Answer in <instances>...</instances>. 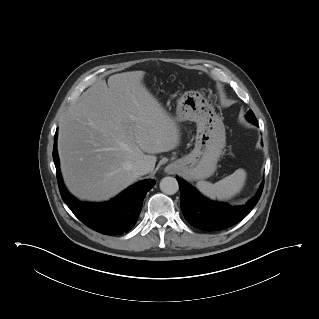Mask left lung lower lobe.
<instances>
[{"instance_id": "left-lung-lower-lobe-1", "label": "left lung lower lobe", "mask_w": 319, "mask_h": 319, "mask_svg": "<svg viewBox=\"0 0 319 319\" xmlns=\"http://www.w3.org/2000/svg\"><path fill=\"white\" fill-rule=\"evenodd\" d=\"M258 126V123H253ZM181 192V209L185 219L194 227L205 231H217L233 226L245 218L257 204L264 181L255 197L246 204L231 206L203 197L183 179L176 177Z\"/></svg>"}]
</instances>
